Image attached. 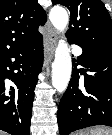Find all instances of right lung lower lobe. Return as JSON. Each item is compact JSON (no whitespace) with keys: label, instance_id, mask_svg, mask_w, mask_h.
<instances>
[{"label":"right lung lower lobe","instance_id":"1","mask_svg":"<svg viewBox=\"0 0 112 135\" xmlns=\"http://www.w3.org/2000/svg\"><path fill=\"white\" fill-rule=\"evenodd\" d=\"M43 58L42 35L0 58V130L29 135L34 89ZM6 78L14 86H6Z\"/></svg>","mask_w":112,"mask_h":135}]
</instances>
